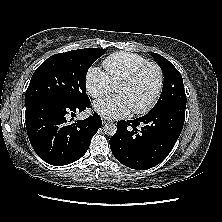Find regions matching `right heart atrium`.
Wrapping results in <instances>:
<instances>
[{
	"label": "right heart atrium",
	"instance_id": "1",
	"mask_svg": "<svg viewBox=\"0 0 222 222\" xmlns=\"http://www.w3.org/2000/svg\"><path fill=\"white\" fill-rule=\"evenodd\" d=\"M85 85L87 93L93 98L108 94L115 86L109 75L96 66L88 70L85 77Z\"/></svg>",
	"mask_w": 222,
	"mask_h": 222
}]
</instances>
